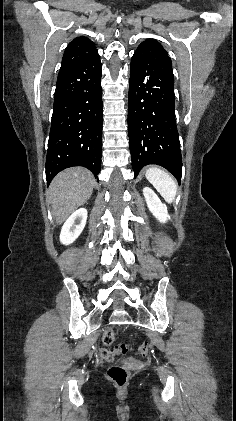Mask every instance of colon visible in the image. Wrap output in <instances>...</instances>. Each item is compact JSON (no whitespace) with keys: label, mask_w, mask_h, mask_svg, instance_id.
<instances>
[{"label":"colon","mask_w":236,"mask_h":421,"mask_svg":"<svg viewBox=\"0 0 236 421\" xmlns=\"http://www.w3.org/2000/svg\"><path fill=\"white\" fill-rule=\"evenodd\" d=\"M114 342V332L111 329H108L104 332L102 337V348L101 356L107 361H111L118 354H126L130 351V348L126 344H121L117 348H110ZM138 355L146 357L149 353V345L143 343L137 348ZM108 377L117 385L123 386L126 384L130 377V372L122 366H112L108 369Z\"/></svg>","instance_id":"1"}]
</instances>
